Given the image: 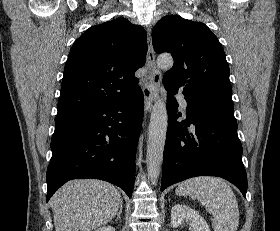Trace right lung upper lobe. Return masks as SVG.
Masks as SVG:
<instances>
[{"label":"right lung upper lobe","instance_id":"1","mask_svg":"<svg viewBox=\"0 0 280 231\" xmlns=\"http://www.w3.org/2000/svg\"><path fill=\"white\" fill-rule=\"evenodd\" d=\"M146 53L145 30L122 17L90 27L71 47L56 119L139 92L134 74Z\"/></svg>","mask_w":280,"mask_h":231}]
</instances>
